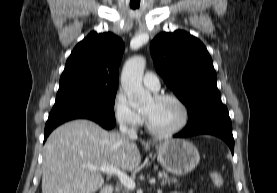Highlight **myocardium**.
<instances>
[{
	"label": "myocardium",
	"instance_id": "1",
	"mask_svg": "<svg viewBox=\"0 0 277 193\" xmlns=\"http://www.w3.org/2000/svg\"><path fill=\"white\" fill-rule=\"evenodd\" d=\"M153 98L157 101L166 100V99L173 100L180 106L183 117H182V121L180 122V124L177 127L173 128L171 130L164 131V130H159V129L155 128L152 125L148 115L145 112H143L147 130L152 135H155L158 137H172V136L178 134L179 132H181L187 126V124L189 122V117H190L189 109H188L186 103L179 96H177L173 93H159V94H155L153 96Z\"/></svg>",
	"mask_w": 277,
	"mask_h": 193
}]
</instances>
